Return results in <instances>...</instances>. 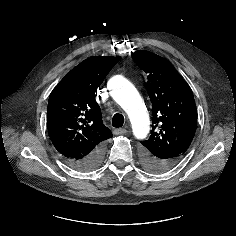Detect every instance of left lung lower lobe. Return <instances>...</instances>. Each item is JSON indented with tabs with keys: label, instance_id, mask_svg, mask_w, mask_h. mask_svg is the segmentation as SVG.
I'll use <instances>...</instances> for the list:
<instances>
[{
	"label": "left lung lower lobe",
	"instance_id": "0a47b994",
	"mask_svg": "<svg viewBox=\"0 0 236 236\" xmlns=\"http://www.w3.org/2000/svg\"><path fill=\"white\" fill-rule=\"evenodd\" d=\"M172 157L164 158L159 164L158 172H164L170 168H172L176 163L180 160L181 156L176 154H171Z\"/></svg>",
	"mask_w": 236,
	"mask_h": 236
}]
</instances>
